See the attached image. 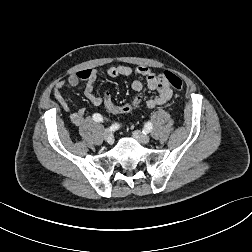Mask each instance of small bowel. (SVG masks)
Returning <instances> with one entry per match:
<instances>
[{"label":"small bowel","mask_w":252,"mask_h":252,"mask_svg":"<svg viewBox=\"0 0 252 252\" xmlns=\"http://www.w3.org/2000/svg\"><path fill=\"white\" fill-rule=\"evenodd\" d=\"M105 74L108 77L116 78L120 76L130 77L134 76L132 81V90L134 95H139L143 88V83L141 78H144L147 87L150 90L156 92V95L150 97L145 102V107L148 110H152L159 106L166 105L172 97L173 91L167 81L163 78V73H156L149 67H136L131 68L125 65H113L109 66L105 70ZM98 72L95 69H83L77 73L71 74L66 81H60L56 84L53 89L54 99L59 103V105L67 111H70V106L67 100L63 96V89L65 85L71 87H76L80 81L86 82L84 88V95L89 100V102L95 106L99 107L102 104L101 97L96 95L94 92V83L97 80ZM133 95V96H134ZM85 109L80 108L77 111L71 113L70 121L75 126H80L84 121Z\"/></svg>","instance_id":"c3829d8e"}]
</instances>
